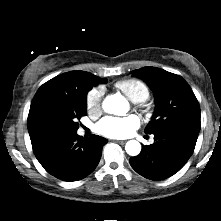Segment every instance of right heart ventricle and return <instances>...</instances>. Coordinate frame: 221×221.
Wrapping results in <instances>:
<instances>
[{"label":"right heart ventricle","mask_w":221,"mask_h":221,"mask_svg":"<svg viewBox=\"0 0 221 221\" xmlns=\"http://www.w3.org/2000/svg\"><path fill=\"white\" fill-rule=\"evenodd\" d=\"M115 86L134 102H142L149 97L147 85L138 79L121 80Z\"/></svg>","instance_id":"right-heart-ventricle-1"}]
</instances>
